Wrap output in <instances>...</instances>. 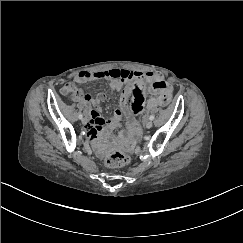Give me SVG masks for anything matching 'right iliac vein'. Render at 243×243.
<instances>
[{"label": "right iliac vein", "instance_id": "1", "mask_svg": "<svg viewBox=\"0 0 243 243\" xmlns=\"http://www.w3.org/2000/svg\"><path fill=\"white\" fill-rule=\"evenodd\" d=\"M81 121H82V124H83V125H86V124H87V119H86V118H82Z\"/></svg>", "mask_w": 243, "mask_h": 243}]
</instances>
